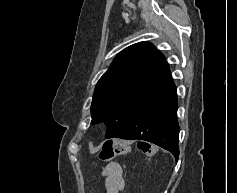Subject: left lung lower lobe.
<instances>
[{
    "mask_svg": "<svg viewBox=\"0 0 237 193\" xmlns=\"http://www.w3.org/2000/svg\"><path fill=\"white\" fill-rule=\"evenodd\" d=\"M176 87L168 69L136 106L127 126L117 136L154 143L179 156Z\"/></svg>",
    "mask_w": 237,
    "mask_h": 193,
    "instance_id": "1",
    "label": "left lung lower lobe"
}]
</instances>
